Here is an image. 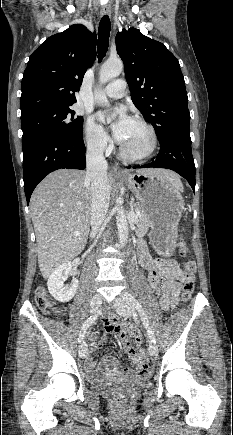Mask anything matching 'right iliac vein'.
I'll return each mask as SVG.
<instances>
[{"instance_id":"right-iliac-vein-1","label":"right iliac vein","mask_w":233,"mask_h":435,"mask_svg":"<svg viewBox=\"0 0 233 435\" xmlns=\"http://www.w3.org/2000/svg\"><path fill=\"white\" fill-rule=\"evenodd\" d=\"M101 304H102V297L99 294L93 295L91 299V305H90L91 312L95 313L100 308ZM87 355H88L87 344L85 341H83L79 347V356L85 358L87 357Z\"/></svg>"}]
</instances>
